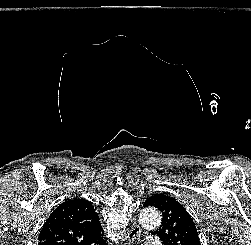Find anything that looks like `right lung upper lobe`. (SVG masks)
<instances>
[{
    "label": "right lung upper lobe",
    "mask_w": 251,
    "mask_h": 245,
    "mask_svg": "<svg viewBox=\"0 0 251 245\" xmlns=\"http://www.w3.org/2000/svg\"><path fill=\"white\" fill-rule=\"evenodd\" d=\"M102 234L99 216L91 202L76 197L50 214L39 234L38 245H88Z\"/></svg>",
    "instance_id": "obj_1"
}]
</instances>
